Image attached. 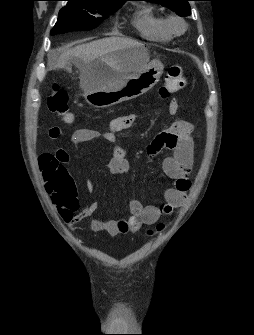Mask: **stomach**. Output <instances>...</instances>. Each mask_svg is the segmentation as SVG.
Returning <instances> with one entry per match:
<instances>
[{"mask_svg": "<svg viewBox=\"0 0 254 335\" xmlns=\"http://www.w3.org/2000/svg\"><path fill=\"white\" fill-rule=\"evenodd\" d=\"M163 68L160 61H149L148 50L142 45L118 50L92 61L82 80L84 98L95 108L137 98L156 85ZM117 74H127L128 77L114 84L113 78Z\"/></svg>", "mask_w": 254, "mask_h": 335, "instance_id": "1", "label": "stomach"}]
</instances>
